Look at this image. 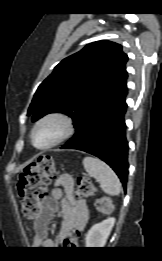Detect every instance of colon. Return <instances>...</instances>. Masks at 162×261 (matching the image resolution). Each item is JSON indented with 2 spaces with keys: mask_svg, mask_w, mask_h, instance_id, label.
<instances>
[{
  "mask_svg": "<svg viewBox=\"0 0 162 261\" xmlns=\"http://www.w3.org/2000/svg\"><path fill=\"white\" fill-rule=\"evenodd\" d=\"M54 161L50 156H41L36 163L26 167L20 175L18 193L21 199V210L28 221H38L40 218V201L45 194L47 186L56 179ZM98 194L96 186L85 176L76 179L77 199H89ZM96 210L103 214H110L113 204L109 196H100L95 204ZM75 243L74 239H66L63 245Z\"/></svg>",
  "mask_w": 162,
  "mask_h": 261,
  "instance_id": "1",
  "label": "colon"
}]
</instances>
